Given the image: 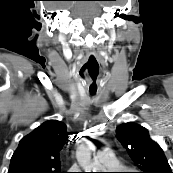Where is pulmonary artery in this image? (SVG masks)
Instances as JSON below:
<instances>
[{
	"mask_svg": "<svg viewBox=\"0 0 173 173\" xmlns=\"http://www.w3.org/2000/svg\"><path fill=\"white\" fill-rule=\"evenodd\" d=\"M95 159L108 168H113L116 164V159H115L114 153L109 148L100 149L95 154Z\"/></svg>",
	"mask_w": 173,
	"mask_h": 173,
	"instance_id": "e3ab8cb5",
	"label": "pulmonary artery"
}]
</instances>
